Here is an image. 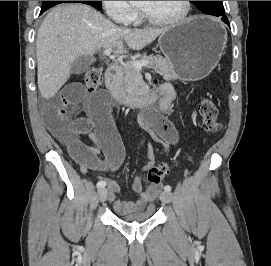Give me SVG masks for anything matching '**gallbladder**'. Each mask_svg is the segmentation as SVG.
<instances>
[{
    "label": "gallbladder",
    "mask_w": 271,
    "mask_h": 266,
    "mask_svg": "<svg viewBox=\"0 0 271 266\" xmlns=\"http://www.w3.org/2000/svg\"><path fill=\"white\" fill-rule=\"evenodd\" d=\"M94 59L90 56H82L77 58L71 66V72L79 75L88 70Z\"/></svg>",
    "instance_id": "obj_1"
}]
</instances>
